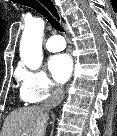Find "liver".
I'll return each mask as SVG.
<instances>
[{"mask_svg": "<svg viewBox=\"0 0 117 136\" xmlns=\"http://www.w3.org/2000/svg\"><path fill=\"white\" fill-rule=\"evenodd\" d=\"M49 114L41 106L24 107L5 119L2 136H44Z\"/></svg>", "mask_w": 117, "mask_h": 136, "instance_id": "liver-1", "label": "liver"}]
</instances>
